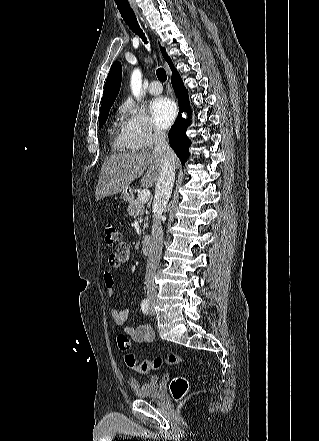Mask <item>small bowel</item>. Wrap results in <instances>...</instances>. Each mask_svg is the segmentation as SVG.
Instances as JSON below:
<instances>
[{"mask_svg": "<svg viewBox=\"0 0 319 441\" xmlns=\"http://www.w3.org/2000/svg\"><path fill=\"white\" fill-rule=\"evenodd\" d=\"M130 257L129 246L125 243L120 244L117 249L108 257V264L113 268H119L126 263ZM103 280L106 287L107 295L112 297L114 295V276L110 271L103 274ZM127 309H111V317L115 324L123 325L127 319ZM123 331L137 343H151L154 340V332L149 325L140 326H126Z\"/></svg>", "mask_w": 319, "mask_h": 441, "instance_id": "small-bowel-1", "label": "small bowel"}]
</instances>
